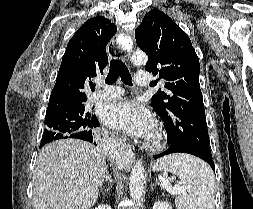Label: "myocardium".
<instances>
[{
	"mask_svg": "<svg viewBox=\"0 0 253 209\" xmlns=\"http://www.w3.org/2000/svg\"><path fill=\"white\" fill-rule=\"evenodd\" d=\"M166 141V134L162 126L157 124L147 139L146 146L151 150L162 148Z\"/></svg>",
	"mask_w": 253,
	"mask_h": 209,
	"instance_id": "1",
	"label": "myocardium"
}]
</instances>
